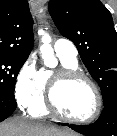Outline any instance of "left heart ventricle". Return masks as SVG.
<instances>
[{
  "label": "left heart ventricle",
  "instance_id": "obj_1",
  "mask_svg": "<svg viewBox=\"0 0 117 136\" xmlns=\"http://www.w3.org/2000/svg\"><path fill=\"white\" fill-rule=\"evenodd\" d=\"M57 99L62 110L74 118H87L95 111V93L83 80L73 81L64 86L58 92Z\"/></svg>",
  "mask_w": 117,
  "mask_h": 136
}]
</instances>
